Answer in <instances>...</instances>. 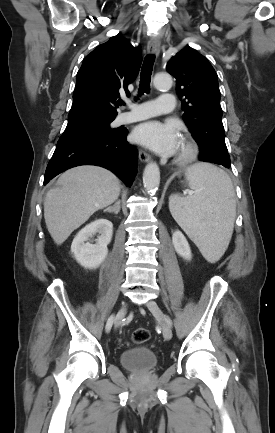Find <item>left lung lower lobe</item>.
<instances>
[{"instance_id":"0a47b994","label":"left lung lower lobe","mask_w":275,"mask_h":433,"mask_svg":"<svg viewBox=\"0 0 275 433\" xmlns=\"http://www.w3.org/2000/svg\"><path fill=\"white\" fill-rule=\"evenodd\" d=\"M223 166L226 168H230V163H225Z\"/></svg>"}]
</instances>
